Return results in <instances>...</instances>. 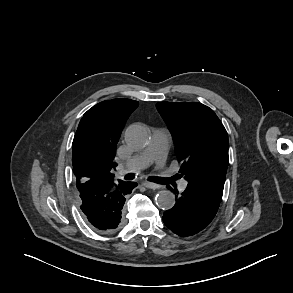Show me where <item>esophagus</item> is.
<instances>
[{"label": "esophagus", "mask_w": 293, "mask_h": 293, "mask_svg": "<svg viewBox=\"0 0 293 293\" xmlns=\"http://www.w3.org/2000/svg\"><path fill=\"white\" fill-rule=\"evenodd\" d=\"M144 187L146 188H150V189H157L160 187V185L153 183V182H149V181H145L142 184Z\"/></svg>", "instance_id": "34e87169"}]
</instances>
